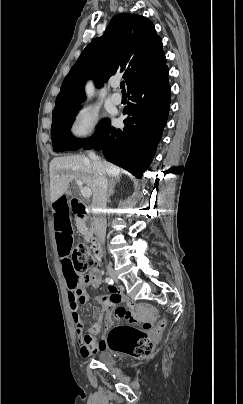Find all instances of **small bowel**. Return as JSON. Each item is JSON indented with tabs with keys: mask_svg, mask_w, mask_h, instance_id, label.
<instances>
[{
	"mask_svg": "<svg viewBox=\"0 0 243 404\" xmlns=\"http://www.w3.org/2000/svg\"><path fill=\"white\" fill-rule=\"evenodd\" d=\"M53 227L61 259L62 271L66 279L68 287V301L71 311L72 320L75 324V332L80 345V354L82 357L90 355L107 348L105 339H97L95 334L99 331V324H95L90 332L84 333L83 322L78 314L79 304H84L89 300L86 286L96 288L101 282V273L98 269H94L83 283L75 285L79 280L72 269L71 246H72V226L68 216V204L65 196H60L53 201ZM104 309L108 314H112L115 318H127L133 320L135 317L131 310L134 306L130 303L126 307L119 306L122 300L121 293L115 288H109V294L101 298ZM112 324L110 318L106 319L105 327Z\"/></svg>",
	"mask_w": 243,
	"mask_h": 404,
	"instance_id": "obj_1",
	"label": "small bowel"
}]
</instances>
